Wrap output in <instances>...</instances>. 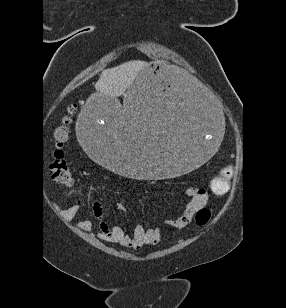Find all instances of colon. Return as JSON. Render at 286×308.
Here are the masks:
<instances>
[{
    "instance_id": "colon-1",
    "label": "colon",
    "mask_w": 286,
    "mask_h": 308,
    "mask_svg": "<svg viewBox=\"0 0 286 308\" xmlns=\"http://www.w3.org/2000/svg\"><path fill=\"white\" fill-rule=\"evenodd\" d=\"M75 105H70L67 109V115L63 117L61 124L54 131L55 149L52 154L53 161L50 164L52 178L56 184L60 186L70 187L74 183V176L71 169L64 160L63 147L69 139V125L71 123V115L75 112ZM232 177V169H223L220 176L212 179L210 183L211 190L216 194H222L228 191L230 180ZM211 213L206 207L200 208L196 213V223L204 226L208 223Z\"/></svg>"
}]
</instances>
